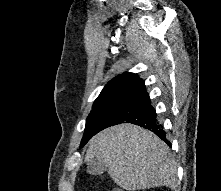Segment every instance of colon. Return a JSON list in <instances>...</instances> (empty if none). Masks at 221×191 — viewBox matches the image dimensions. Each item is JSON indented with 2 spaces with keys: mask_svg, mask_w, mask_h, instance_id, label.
I'll return each mask as SVG.
<instances>
[{
  "mask_svg": "<svg viewBox=\"0 0 221 191\" xmlns=\"http://www.w3.org/2000/svg\"><path fill=\"white\" fill-rule=\"evenodd\" d=\"M112 191H122V190H120V189H113Z\"/></svg>",
  "mask_w": 221,
  "mask_h": 191,
  "instance_id": "obj_1",
  "label": "colon"
}]
</instances>
